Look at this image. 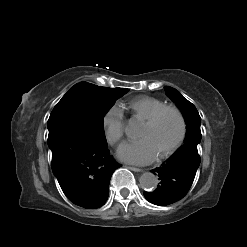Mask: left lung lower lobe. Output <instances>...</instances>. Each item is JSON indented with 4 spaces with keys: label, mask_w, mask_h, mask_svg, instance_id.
<instances>
[{
    "label": "left lung lower lobe",
    "mask_w": 247,
    "mask_h": 247,
    "mask_svg": "<svg viewBox=\"0 0 247 247\" xmlns=\"http://www.w3.org/2000/svg\"><path fill=\"white\" fill-rule=\"evenodd\" d=\"M200 164L197 145L185 143L159 168L152 170L159 176V185L153 192H144L145 198L158 206H167L182 199L190 189Z\"/></svg>",
    "instance_id": "left-lung-lower-lobe-1"
}]
</instances>
